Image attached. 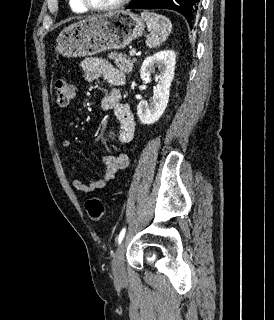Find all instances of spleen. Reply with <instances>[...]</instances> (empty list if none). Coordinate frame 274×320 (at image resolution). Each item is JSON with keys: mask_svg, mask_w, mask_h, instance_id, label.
Returning <instances> with one entry per match:
<instances>
[{"mask_svg": "<svg viewBox=\"0 0 274 320\" xmlns=\"http://www.w3.org/2000/svg\"><path fill=\"white\" fill-rule=\"evenodd\" d=\"M141 16L144 22H146L150 32L149 38L146 40L147 46H149V48H155V46H159V44L165 42L171 32L172 24L170 20L165 18V16H160V14L148 12V10H144Z\"/></svg>", "mask_w": 274, "mask_h": 320, "instance_id": "1", "label": "spleen"}]
</instances>
